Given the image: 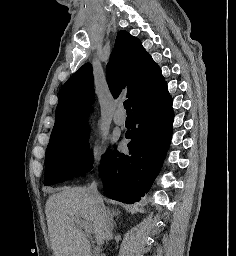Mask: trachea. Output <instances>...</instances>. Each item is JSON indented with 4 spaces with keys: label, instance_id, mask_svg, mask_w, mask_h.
I'll use <instances>...</instances> for the list:
<instances>
[{
    "label": "trachea",
    "instance_id": "3493384b",
    "mask_svg": "<svg viewBox=\"0 0 236 256\" xmlns=\"http://www.w3.org/2000/svg\"><path fill=\"white\" fill-rule=\"evenodd\" d=\"M124 108H125L127 113H131L132 112L129 100H125L124 101Z\"/></svg>",
    "mask_w": 236,
    "mask_h": 256
}]
</instances>
